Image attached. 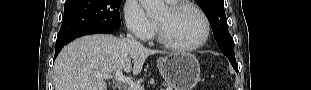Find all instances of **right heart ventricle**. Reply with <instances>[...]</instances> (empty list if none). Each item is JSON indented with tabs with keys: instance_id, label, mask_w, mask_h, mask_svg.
<instances>
[{
	"instance_id": "e07e8e85",
	"label": "right heart ventricle",
	"mask_w": 311,
	"mask_h": 90,
	"mask_svg": "<svg viewBox=\"0 0 311 90\" xmlns=\"http://www.w3.org/2000/svg\"><path fill=\"white\" fill-rule=\"evenodd\" d=\"M169 3V2H168ZM176 2H173V3H169V4H175Z\"/></svg>"
}]
</instances>
